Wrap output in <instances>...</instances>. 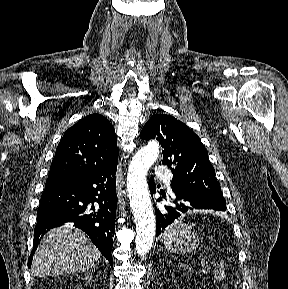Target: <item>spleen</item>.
Listing matches in <instances>:
<instances>
[{
    "instance_id": "1",
    "label": "spleen",
    "mask_w": 288,
    "mask_h": 289,
    "mask_svg": "<svg viewBox=\"0 0 288 289\" xmlns=\"http://www.w3.org/2000/svg\"><path fill=\"white\" fill-rule=\"evenodd\" d=\"M194 224L185 223L183 219H179L168 227L162 235L163 242H170L176 237L184 235L192 230Z\"/></svg>"
}]
</instances>
